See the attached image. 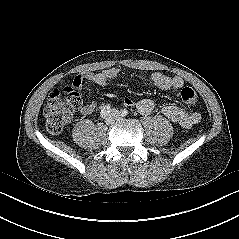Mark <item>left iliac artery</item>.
<instances>
[{"mask_svg":"<svg viewBox=\"0 0 239 239\" xmlns=\"http://www.w3.org/2000/svg\"><path fill=\"white\" fill-rule=\"evenodd\" d=\"M121 115L122 116H127L128 115V110L127 109H122L121 110Z\"/></svg>","mask_w":239,"mask_h":239,"instance_id":"left-iliac-artery-1","label":"left iliac artery"}]
</instances>
